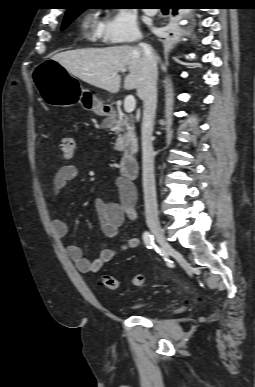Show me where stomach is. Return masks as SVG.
Instances as JSON below:
<instances>
[{
  "instance_id": "stomach-1",
  "label": "stomach",
  "mask_w": 255,
  "mask_h": 387,
  "mask_svg": "<svg viewBox=\"0 0 255 387\" xmlns=\"http://www.w3.org/2000/svg\"><path fill=\"white\" fill-rule=\"evenodd\" d=\"M36 82V91H39L43 100L53 106L69 107L76 101L85 110H92L98 115H104V106L89 90L78 85L58 62L48 60L41 66H30Z\"/></svg>"
}]
</instances>
